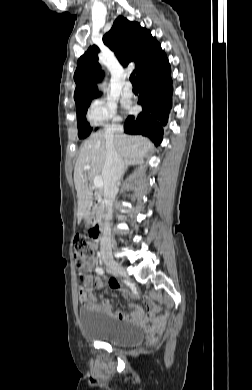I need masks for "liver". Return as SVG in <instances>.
Returning <instances> with one entry per match:
<instances>
[{
  "instance_id": "6515ba94",
  "label": "liver",
  "mask_w": 252,
  "mask_h": 390,
  "mask_svg": "<svg viewBox=\"0 0 252 390\" xmlns=\"http://www.w3.org/2000/svg\"><path fill=\"white\" fill-rule=\"evenodd\" d=\"M113 143L116 151L125 161L141 160L148 152L154 151V145L142 136L115 133ZM105 160V132L99 131L92 134L82 144L74 168V183L78 198V223L81 222L90 206L91 192L87 185V178L98 176L103 170ZM85 166H90L91 168L86 170Z\"/></svg>"
}]
</instances>
